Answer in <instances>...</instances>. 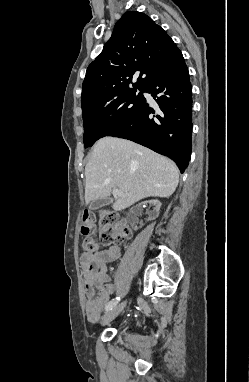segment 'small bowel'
I'll return each instance as SVG.
<instances>
[{"label": "small bowel", "instance_id": "obj_1", "mask_svg": "<svg viewBox=\"0 0 249 382\" xmlns=\"http://www.w3.org/2000/svg\"><path fill=\"white\" fill-rule=\"evenodd\" d=\"M119 256L120 248L118 246H111L108 249L91 253L84 252L80 257L86 295L85 311L90 322H95L99 319L104 305L113 294L114 287L110 283L107 264L115 261ZM96 288L99 289L97 296H95Z\"/></svg>", "mask_w": 249, "mask_h": 382}]
</instances>
